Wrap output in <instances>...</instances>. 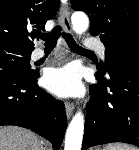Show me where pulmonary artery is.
<instances>
[{
	"label": "pulmonary artery",
	"instance_id": "e3ab8cb5",
	"mask_svg": "<svg viewBox=\"0 0 139 150\" xmlns=\"http://www.w3.org/2000/svg\"><path fill=\"white\" fill-rule=\"evenodd\" d=\"M84 47L85 49H88V50H91V49L96 50L102 58H105L106 48L102 42L96 39H87L84 43ZM44 56H45L44 51L41 49H35L32 53V58L34 60H39L43 58Z\"/></svg>",
	"mask_w": 139,
	"mask_h": 150
}]
</instances>
